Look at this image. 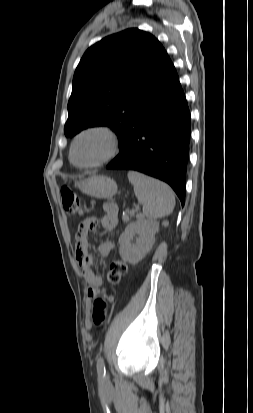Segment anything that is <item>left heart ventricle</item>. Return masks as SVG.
Returning a JSON list of instances; mask_svg holds the SVG:
<instances>
[{
	"instance_id": "1",
	"label": "left heart ventricle",
	"mask_w": 253,
	"mask_h": 413,
	"mask_svg": "<svg viewBox=\"0 0 253 413\" xmlns=\"http://www.w3.org/2000/svg\"><path fill=\"white\" fill-rule=\"evenodd\" d=\"M107 148L105 138L97 134L83 136L76 144L74 158L80 164H89L99 159Z\"/></svg>"
}]
</instances>
